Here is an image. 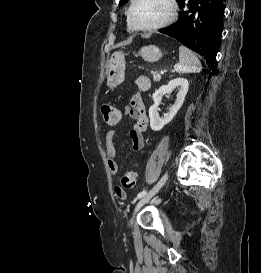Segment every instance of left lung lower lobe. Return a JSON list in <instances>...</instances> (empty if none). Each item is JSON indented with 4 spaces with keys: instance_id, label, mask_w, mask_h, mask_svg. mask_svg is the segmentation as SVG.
<instances>
[{
    "instance_id": "0a47b994",
    "label": "left lung lower lobe",
    "mask_w": 261,
    "mask_h": 273,
    "mask_svg": "<svg viewBox=\"0 0 261 273\" xmlns=\"http://www.w3.org/2000/svg\"><path fill=\"white\" fill-rule=\"evenodd\" d=\"M181 10L173 25L160 29L191 50L205 57L213 68L222 32L223 0H178Z\"/></svg>"
}]
</instances>
